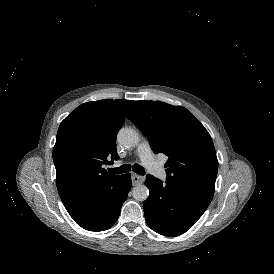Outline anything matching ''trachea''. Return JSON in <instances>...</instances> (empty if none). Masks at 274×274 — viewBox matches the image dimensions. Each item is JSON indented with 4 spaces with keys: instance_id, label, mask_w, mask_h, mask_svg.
Segmentation results:
<instances>
[{
    "instance_id": "1",
    "label": "trachea",
    "mask_w": 274,
    "mask_h": 274,
    "mask_svg": "<svg viewBox=\"0 0 274 274\" xmlns=\"http://www.w3.org/2000/svg\"><path fill=\"white\" fill-rule=\"evenodd\" d=\"M131 168L137 174H140V175L145 174V169L142 166L138 165V164H135L132 167H131V165L124 164V165H122L120 167H117V168H111V169H109V171L112 172V173H115V174H121V173H126V172L130 171Z\"/></svg>"
}]
</instances>
